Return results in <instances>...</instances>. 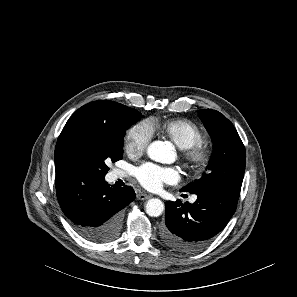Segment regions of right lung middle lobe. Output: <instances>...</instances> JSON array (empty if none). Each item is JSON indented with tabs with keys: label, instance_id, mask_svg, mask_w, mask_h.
Masks as SVG:
<instances>
[{
	"label": "right lung middle lobe",
	"instance_id": "right-lung-middle-lobe-1",
	"mask_svg": "<svg viewBox=\"0 0 297 297\" xmlns=\"http://www.w3.org/2000/svg\"><path fill=\"white\" fill-rule=\"evenodd\" d=\"M121 128L113 133L78 131L66 147V160L70 171H82L105 177L107 163L122 159L125 130L141 119L142 114L125 105L120 107Z\"/></svg>",
	"mask_w": 297,
	"mask_h": 297
}]
</instances>
